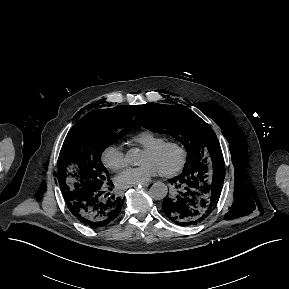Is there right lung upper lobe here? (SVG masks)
<instances>
[{
	"label": "right lung upper lobe",
	"mask_w": 289,
	"mask_h": 289,
	"mask_svg": "<svg viewBox=\"0 0 289 289\" xmlns=\"http://www.w3.org/2000/svg\"><path fill=\"white\" fill-rule=\"evenodd\" d=\"M120 106H117L115 108H109V109H102V110H96V111H92L88 114H97V113H107V112H112V111H115L117 109H119ZM136 112V111H135ZM136 114V113H135Z\"/></svg>",
	"instance_id": "1"
}]
</instances>
